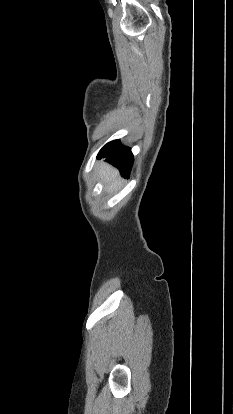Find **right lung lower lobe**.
<instances>
[{"mask_svg":"<svg viewBox=\"0 0 233 414\" xmlns=\"http://www.w3.org/2000/svg\"><path fill=\"white\" fill-rule=\"evenodd\" d=\"M97 158H106L107 161L119 168L122 176H129L133 164V155L130 148L122 146L119 140L107 143L100 150Z\"/></svg>","mask_w":233,"mask_h":414,"instance_id":"obj_1","label":"right lung lower lobe"}]
</instances>
